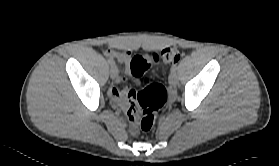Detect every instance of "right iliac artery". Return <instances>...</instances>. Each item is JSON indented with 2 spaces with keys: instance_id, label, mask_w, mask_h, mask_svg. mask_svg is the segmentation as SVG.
<instances>
[{
  "instance_id": "1",
  "label": "right iliac artery",
  "mask_w": 279,
  "mask_h": 166,
  "mask_svg": "<svg viewBox=\"0 0 279 166\" xmlns=\"http://www.w3.org/2000/svg\"><path fill=\"white\" fill-rule=\"evenodd\" d=\"M108 63L111 65V66H115V61L113 59H108Z\"/></svg>"
}]
</instances>
